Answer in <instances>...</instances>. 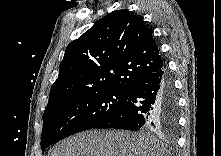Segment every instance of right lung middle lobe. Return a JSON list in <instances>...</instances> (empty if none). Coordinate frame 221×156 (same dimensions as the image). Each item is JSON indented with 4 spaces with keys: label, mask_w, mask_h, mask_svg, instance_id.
Segmentation results:
<instances>
[{
    "label": "right lung middle lobe",
    "mask_w": 221,
    "mask_h": 156,
    "mask_svg": "<svg viewBox=\"0 0 221 156\" xmlns=\"http://www.w3.org/2000/svg\"><path fill=\"white\" fill-rule=\"evenodd\" d=\"M127 96L126 91L87 92L46 108L43 115L42 152L56 141L93 128L119 109Z\"/></svg>",
    "instance_id": "1"
}]
</instances>
